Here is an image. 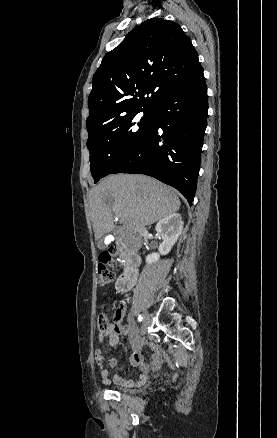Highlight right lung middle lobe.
Here are the masks:
<instances>
[{
	"label": "right lung middle lobe",
	"instance_id": "right-lung-middle-lobe-1",
	"mask_svg": "<svg viewBox=\"0 0 277 438\" xmlns=\"http://www.w3.org/2000/svg\"><path fill=\"white\" fill-rule=\"evenodd\" d=\"M140 112H143L142 117L138 116ZM151 122L152 109H142L87 128V147L95 182L115 171L142 141Z\"/></svg>",
	"mask_w": 277,
	"mask_h": 438
}]
</instances>
